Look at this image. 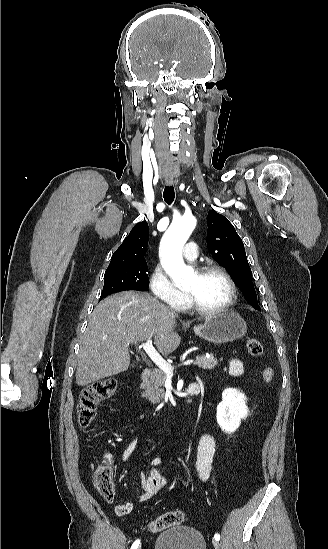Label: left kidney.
<instances>
[{
    "label": "left kidney",
    "mask_w": 328,
    "mask_h": 549,
    "mask_svg": "<svg viewBox=\"0 0 328 549\" xmlns=\"http://www.w3.org/2000/svg\"><path fill=\"white\" fill-rule=\"evenodd\" d=\"M244 393L238 389H225L222 393V401L217 405V423L224 433H234L240 425L241 419L247 417L248 407H246Z\"/></svg>",
    "instance_id": "obj_1"
}]
</instances>
